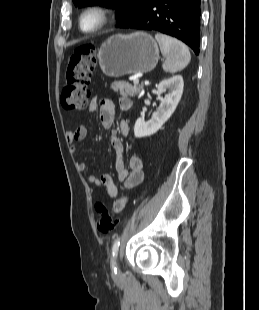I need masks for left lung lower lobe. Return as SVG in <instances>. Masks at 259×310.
<instances>
[{
	"instance_id": "1",
	"label": "left lung lower lobe",
	"mask_w": 259,
	"mask_h": 310,
	"mask_svg": "<svg viewBox=\"0 0 259 310\" xmlns=\"http://www.w3.org/2000/svg\"><path fill=\"white\" fill-rule=\"evenodd\" d=\"M119 27L160 31L199 54L200 0H152Z\"/></svg>"
}]
</instances>
